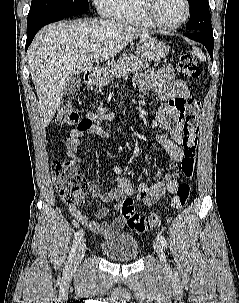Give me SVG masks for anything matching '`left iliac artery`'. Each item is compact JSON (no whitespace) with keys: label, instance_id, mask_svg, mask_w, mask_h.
<instances>
[{"label":"left iliac artery","instance_id":"obj_1","mask_svg":"<svg viewBox=\"0 0 239 303\" xmlns=\"http://www.w3.org/2000/svg\"><path fill=\"white\" fill-rule=\"evenodd\" d=\"M157 240L161 242V244L167 248V240L162 234H157Z\"/></svg>","mask_w":239,"mask_h":303}]
</instances>
